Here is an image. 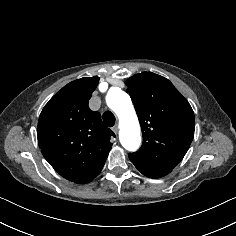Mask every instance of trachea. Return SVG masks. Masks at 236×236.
Listing matches in <instances>:
<instances>
[{
	"instance_id": "1",
	"label": "trachea",
	"mask_w": 236,
	"mask_h": 236,
	"mask_svg": "<svg viewBox=\"0 0 236 236\" xmlns=\"http://www.w3.org/2000/svg\"><path fill=\"white\" fill-rule=\"evenodd\" d=\"M102 118L105 125L108 127H112L115 124V116L110 111L105 112Z\"/></svg>"
}]
</instances>
